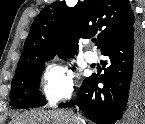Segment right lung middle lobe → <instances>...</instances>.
<instances>
[{"mask_svg": "<svg viewBox=\"0 0 145 124\" xmlns=\"http://www.w3.org/2000/svg\"><path fill=\"white\" fill-rule=\"evenodd\" d=\"M48 60L50 59L39 61L14 75L10 93L13 107L27 109L44 106L47 103L38 87L39 78L45 66L44 62Z\"/></svg>", "mask_w": 145, "mask_h": 124, "instance_id": "right-lung-middle-lobe-1", "label": "right lung middle lobe"}]
</instances>
